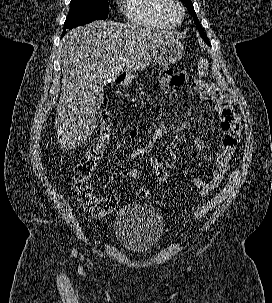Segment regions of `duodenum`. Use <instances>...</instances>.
Instances as JSON below:
<instances>
[{
    "label": "duodenum",
    "instance_id": "410a0bca",
    "mask_svg": "<svg viewBox=\"0 0 272 303\" xmlns=\"http://www.w3.org/2000/svg\"><path fill=\"white\" fill-rule=\"evenodd\" d=\"M130 80V76L128 74H120L114 79V83L117 86H125Z\"/></svg>",
    "mask_w": 272,
    "mask_h": 303
}]
</instances>
